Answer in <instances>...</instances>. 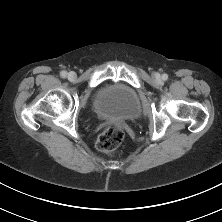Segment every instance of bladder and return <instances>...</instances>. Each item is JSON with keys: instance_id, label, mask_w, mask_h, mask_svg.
<instances>
[{"instance_id": "obj_1", "label": "bladder", "mask_w": 222, "mask_h": 222, "mask_svg": "<svg viewBox=\"0 0 222 222\" xmlns=\"http://www.w3.org/2000/svg\"><path fill=\"white\" fill-rule=\"evenodd\" d=\"M140 109L136 92L123 84L107 87L93 102V110L101 119H135L139 116Z\"/></svg>"}]
</instances>
